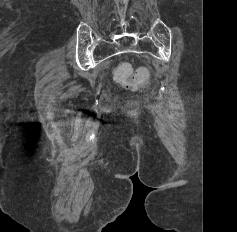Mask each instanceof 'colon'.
Segmentation results:
<instances>
[{
	"instance_id": "5ec220e1",
	"label": "colon",
	"mask_w": 237,
	"mask_h": 232,
	"mask_svg": "<svg viewBox=\"0 0 237 232\" xmlns=\"http://www.w3.org/2000/svg\"><path fill=\"white\" fill-rule=\"evenodd\" d=\"M114 78L124 87L130 90H136L148 82L149 73L145 68H140L133 73L129 64L122 63L117 66Z\"/></svg>"
}]
</instances>
